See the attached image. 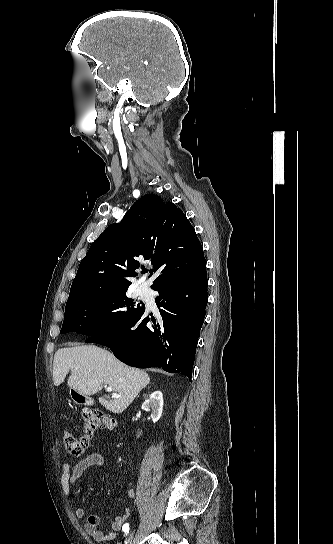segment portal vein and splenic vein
<instances>
[{"label": "portal vein and splenic vein", "instance_id": "portal-vein-and-splenic-vein-1", "mask_svg": "<svg viewBox=\"0 0 333 544\" xmlns=\"http://www.w3.org/2000/svg\"><path fill=\"white\" fill-rule=\"evenodd\" d=\"M106 390H107L108 392H112L113 389H112V387H107ZM113 396H114V397H120V395H117V394H113Z\"/></svg>", "mask_w": 333, "mask_h": 544}]
</instances>
